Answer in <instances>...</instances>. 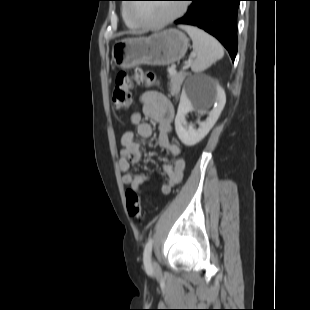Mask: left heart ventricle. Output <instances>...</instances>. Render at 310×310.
Returning <instances> with one entry per match:
<instances>
[{
	"label": "left heart ventricle",
	"instance_id": "1",
	"mask_svg": "<svg viewBox=\"0 0 310 310\" xmlns=\"http://www.w3.org/2000/svg\"><path fill=\"white\" fill-rule=\"evenodd\" d=\"M179 6L169 3H148L131 6V14L143 21L157 23L174 15Z\"/></svg>",
	"mask_w": 310,
	"mask_h": 310
}]
</instances>
